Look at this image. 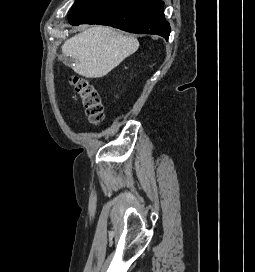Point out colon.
I'll use <instances>...</instances> for the list:
<instances>
[{
  "label": "colon",
  "instance_id": "obj_1",
  "mask_svg": "<svg viewBox=\"0 0 255 272\" xmlns=\"http://www.w3.org/2000/svg\"><path fill=\"white\" fill-rule=\"evenodd\" d=\"M71 85L89 121L94 125H100L104 120V109L98 91L88 79L81 77L72 78Z\"/></svg>",
  "mask_w": 255,
  "mask_h": 272
}]
</instances>
